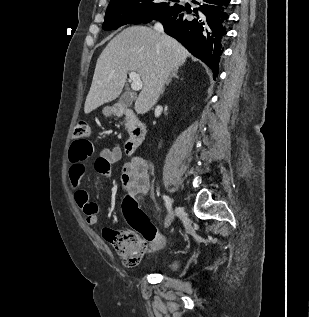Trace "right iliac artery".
Returning <instances> with one entry per match:
<instances>
[{
  "instance_id": "right-iliac-artery-1",
  "label": "right iliac artery",
  "mask_w": 309,
  "mask_h": 317,
  "mask_svg": "<svg viewBox=\"0 0 309 317\" xmlns=\"http://www.w3.org/2000/svg\"><path fill=\"white\" fill-rule=\"evenodd\" d=\"M163 199H164V201H165L167 210L170 212L171 206H172V201H171V199H170L168 196H166V195H163Z\"/></svg>"
}]
</instances>
